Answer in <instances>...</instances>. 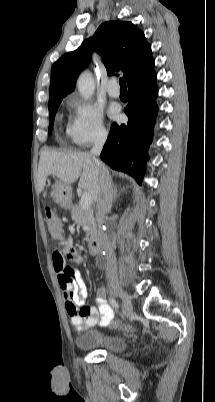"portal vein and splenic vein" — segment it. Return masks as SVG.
Instances as JSON below:
<instances>
[{"instance_id":"portal-vein-and-splenic-vein-1","label":"portal vein and splenic vein","mask_w":215,"mask_h":402,"mask_svg":"<svg viewBox=\"0 0 215 402\" xmlns=\"http://www.w3.org/2000/svg\"><path fill=\"white\" fill-rule=\"evenodd\" d=\"M92 204V196L90 195L89 192H84L82 194L81 200H80V205L83 209H89Z\"/></svg>"}]
</instances>
